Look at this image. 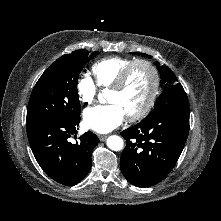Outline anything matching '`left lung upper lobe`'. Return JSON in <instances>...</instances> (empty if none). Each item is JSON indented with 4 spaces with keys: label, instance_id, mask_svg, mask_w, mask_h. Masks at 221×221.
Here are the masks:
<instances>
[{
    "label": "left lung upper lobe",
    "instance_id": "1",
    "mask_svg": "<svg viewBox=\"0 0 221 221\" xmlns=\"http://www.w3.org/2000/svg\"><path fill=\"white\" fill-rule=\"evenodd\" d=\"M133 54L151 58L150 55H147L144 53L134 52ZM156 66L160 73L161 85L163 86V84H165L166 89L160 95L157 106L147 117L153 116L158 111V109L163 108L164 105L167 103L168 97L172 95L173 93L175 94L180 93V92L185 93L182 85L180 83H177L178 80L170 68H168L166 65L160 66L159 62H156Z\"/></svg>",
    "mask_w": 221,
    "mask_h": 221
}]
</instances>
